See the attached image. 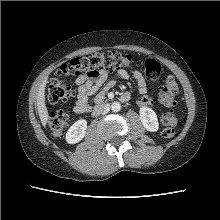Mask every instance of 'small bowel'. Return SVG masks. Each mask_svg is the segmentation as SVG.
<instances>
[{
  "instance_id": "1",
  "label": "small bowel",
  "mask_w": 220,
  "mask_h": 220,
  "mask_svg": "<svg viewBox=\"0 0 220 220\" xmlns=\"http://www.w3.org/2000/svg\"><path fill=\"white\" fill-rule=\"evenodd\" d=\"M118 75L127 79L129 74L126 70H118ZM133 76L138 86V98L137 103L140 106H149L152 104V98L146 96L147 85L144 77L139 71H134ZM108 74L105 70H97L95 75L80 74L76 78V84L78 85V93L75 102L74 112L77 114H87L92 109L90 98L95 95L94 102L100 103L103 100L104 92H98L102 84L107 80ZM115 85L114 80H109L104 88V91L111 89ZM128 95V94H127Z\"/></svg>"
}]
</instances>
